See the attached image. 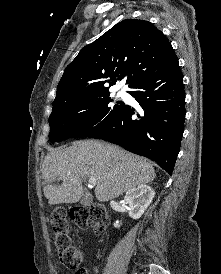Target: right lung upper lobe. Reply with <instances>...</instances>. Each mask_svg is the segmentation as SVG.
<instances>
[{"mask_svg": "<svg viewBox=\"0 0 221 274\" xmlns=\"http://www.w3.org/2000/svg\"><path fill=\"white\" fill-rule=\"evenodd\" d=\"M165 35L145 20L126 19L83 47L66 67L53 104L109 93L127 77L130 88L177 61Z\"/></svg>", "mask_w": 221, "mask_h": 274, "instance_id": "obj_1", "label": "right lung upper lobe"}]
</instances>
